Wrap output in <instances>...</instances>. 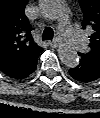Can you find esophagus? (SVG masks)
Here are the masks:
<instances>
[{"mask_svg": "<svg viewBox=\"0 0 100 118\" xmlns=\"http://www.w3.org/2000/svg\"><path fill=\"white\" fill-rule=\"evenodd\" d=\"M49 45L53 48H56L60 45L59 37L54 38L52 41L49 42Z\"/></svg>", "mask_w": 100, "mask_h": 118, "instance_id": "1", "label": "esophagus"}]
</instances>
